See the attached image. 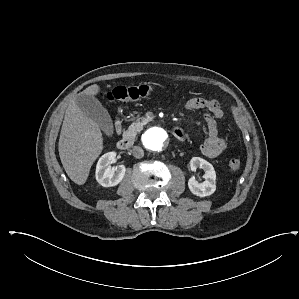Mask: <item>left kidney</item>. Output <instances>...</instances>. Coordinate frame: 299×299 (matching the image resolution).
<instances>
[{"label":"left kidney","instance_id":"5707ae66","mask_svg":"<svg viewBox=\"0 0 299 299\" xmlns=\"http://www.w3.org/2000/svg\"><path fill=\"white\" fill-rule=\"evenodd\" d=\"M190 168L196 171L197 168L204 170L205 181L198 182L194 176L188 181L190 191L199 197H206L212 195L216 190V172L212 164L200 157H193L190 160Z\"/></svg>","mask_w":299,"mask_h":299}]
</instances>
